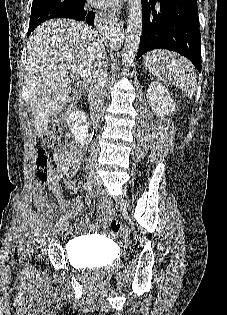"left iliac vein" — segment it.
Here are the masks:
<instances>
[{
	"label": "left iliac vein",
	"instance_id": "obj_1",
	"mask_svg": "<svg viewBox=\"0 0 227 315\" xmlns=\"http://www.w3.org/2000/svg\"><path fill=\"white\" fill-rule=\"evenodd\" d=\"M98 184H101V181H98ZM118 201L125 208H128L130 205L129 199L127 198L126 194H122V195L118 196Z\"/></svg>",
	"mask_w": 227,
	"mask_h": 315
}]
</instances>
